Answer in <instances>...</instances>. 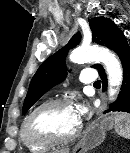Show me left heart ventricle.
<instances>
[{"label":"left heart ventricle","mask_w":130,"mask_h":153,"mask_svg":"<svg viewBox=\"0 0 130 153\" xmlns=\"http://www.w3.org/2000/svg\"><path fill=\"white\" fill-rule=\"evenodd\" d=\"M79 123L73 105L49 108L36 116L32 129L37 134L55 137L70 135Z\"/></svg>","instance_id":"1"}]
</instances>
